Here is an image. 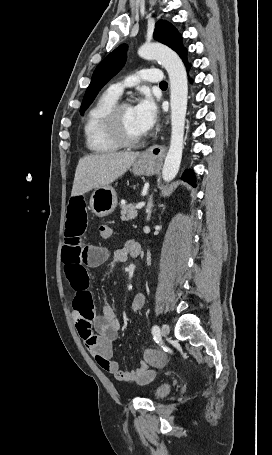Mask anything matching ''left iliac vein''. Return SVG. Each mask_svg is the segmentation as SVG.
<instances>
[{"instance_id":"left-iliac-vein-1","label":"left iliac vein","mask_w":272,"mask_h":455,"mask_svg":"<svg viewBox=\"0 0 272 455\" xmlns=\"http://www.w3.org/2000/svg\"><path fill=\"white\" fill-rule=\"evenodd\" d=\"M161 334H162L164 337H167V336L169 335V327H168V325H166V324H163V325H162Z\"/></svg>"}]
</instances>
